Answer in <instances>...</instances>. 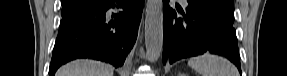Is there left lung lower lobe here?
<instances>
[{"label": "left lung lower lobe", "mask_w": 287, "mask_h": 76, "mask_svg": "<svg viewBox=\"0 0 287 76\" xmlns=\"http://www.w3.org/2000/svg\"><path fill=\"white\" fill-rule=\"evenodd\" d=\"M163 4L164 64L212 53L228 58L241 73L236 31L232 24L189 1L186 12L177 9L183 17H178L170 8L169 0H163Z\"/></svg>", "instance_id": "0a47b994"}]
</instances>
